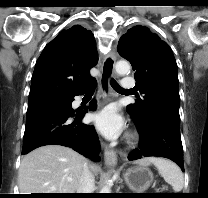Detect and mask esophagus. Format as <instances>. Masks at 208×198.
<instances>
[{
  "label": "esophagus",
  "mask_w": 208,
  "mask_h": 198,
  "mask_svg": "<svg viewBox=\"0 0 208 198\" xmlns=\"http://www.w3.org/2000/svg\"><path fill=\"white\" fill-rule=\"evenodd\" d=\"M115 61L116 55L111 52L104 58L101 67V77L99 83L101 90L105 95L109 94L110 80L114 76ZM104 160L108 165H115L117 163V155L115 151L106 147L104 149Z\"/></svg>",
  "instance_id": "34e87169"
}]
</instances>
